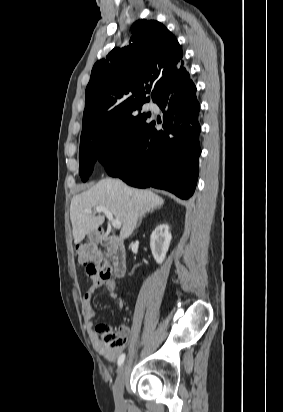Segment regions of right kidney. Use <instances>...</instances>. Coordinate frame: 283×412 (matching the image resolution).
Segmentation results:
<instances>
[{
    "mask_svg": "<svg viewBox=\"0 0 283 412\" xmlns=\"http://www.w3.org/2000/svg\"><path fill=\"white\" fill-rule=\"evenodd\" d=\"M172 236L167 224L159 225L150 237V248L155 261L162 264L166 257Z\"/></svg>",
    "mask_w": 283,
    "mask_h": 412,
    "instance_id": "right-kidney-1",
    "label": "right kidney"
}]
</instances>
